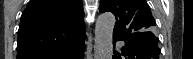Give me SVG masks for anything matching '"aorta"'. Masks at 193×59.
<instances>
[{"label":"aorta","mask_w":193,"mask_h":59,"mask_svg":"<svg viewBox=\"0 0 193 59\" xmlns=\"http://www.w3.org/2000/svg\"><path fill=\"white\" fill-rule=\"evenodd\" d=\"M115 21V16L109 12L99 15L97 18L94 45L95 59L112 58V37Z\"/></svg>","instance_id":"1"}]
</instances>
